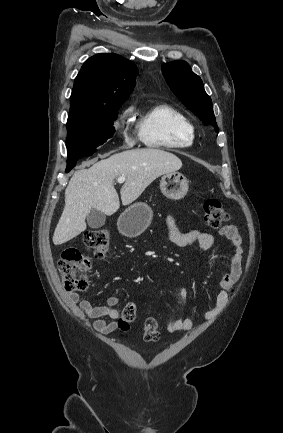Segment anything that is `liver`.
Here are the masks:
<instances>
[{
	"label": "liver",
	"mask_w": 283,
	"mask_h": 433,
	"mask_svg": "<svg viewBox=\"0 0 283 433\" xmlns=\"http://www.w3.org/2000/svg\"><path fill=\"white\" fill-rule=\"evenodd\" d=\"M83 162L75 170L65 190V206L54 231V245H63L87 229L85 219L91 208H97L110 217L120 206L115 178L125 176L120 190L122 204H130L146 186L167 172H175L182 160L160 148H132L112 154L109 158Z\"/></svg>",
	"instance_id": "1"
}]
</instances>
